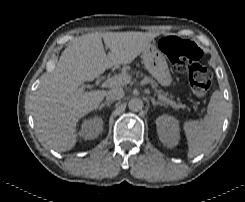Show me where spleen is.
<instances>
[{"instance_id":"obj_1","label":"spleen","mask_w":245,"mask_h":202,"mask_svg":"<svg viewBox=\"0 0 245 202\" xmlns=\"http://www.w3.org/2000/svg\"><path fill=\"white\" fill-rule=\"evenodd\" d=\"M225 114V100L220 91H215L201 121H186L183 129L188 140V158H193L212 146L219 136Z\"/></svg>"}]
</instances>
